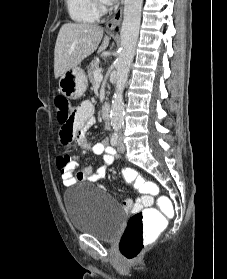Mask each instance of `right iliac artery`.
Masks as SVG:
<instances>
[{
    "mask_svg": "<svg viewBox=\"0 0 227 279\" xmlns=\"http://www.w3.org/2000/svg\"><path fill=\"white\" fill-rule=\"evenodd\" d=\"M118 138H119V132L118 131H115L113 134H112V137H111V144L112 146H116L117 143H118Z\"/></svg>",
    "mask_w": 227,
    "mask_h": 279,
    "instance_id": "82829eb1",
    "label": "right iliac artery"
}]
</instances>
